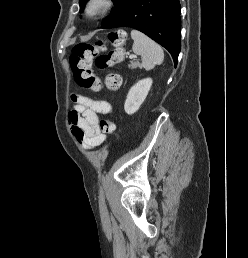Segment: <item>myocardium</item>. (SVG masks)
<instances>
[{
  "label": "myocardium",
  "instance_id": "1",
  "mask_svg": "<svg viewBox=\"0 0 248 258\" xmlns=\"http://www.w3.org/2000/svg\"><path fill=\"white\" fill-rule=\"evenodd\" d=\"M114 7V0H88L84 7V14L89 19H97Z\"/></svg>",
  "mask_w": 248,
  "mask_h": 258
}]
</instances>
